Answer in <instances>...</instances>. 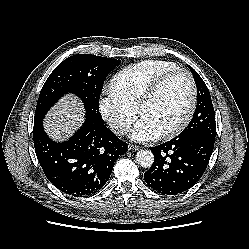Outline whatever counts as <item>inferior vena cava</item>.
I'll list each match as a JSON object with an SVG mask.
<instances>
[{"instance_id":"obj_1","label":"inferior vena cava","mask_w":249,"mask_h":249,"mask_svg":"<svg viewBox=\"0 0 249 249\" xmlns=\"http://www.w3.org/2000/svg\"><path fill=\"white\" fill-rule=\"evenodd\" d=\"M110 126L117 133H119L121 131H126L127 130L125 124L120 123V122L112 123V124H110Z\"/></svg>"}]
</instances>
